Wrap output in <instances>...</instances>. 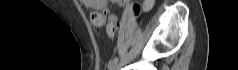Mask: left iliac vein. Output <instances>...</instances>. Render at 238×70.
<instances>
[{
  "label": "left iliac vein",
  "instance_id": "4c4485c4",
  "mask_svg": "<svg viewBox=\"0 0 238 70\" xmlns=\"http://www.w3.org/2000/svg\"><path fill=\"white\" fill-rule=\"evenodd\" d=\"M114 69H115V67H111V68H110V70H114Z\"/></svg>",
  "mask_w": 238,
  "mask_h": 70
}]
</instances>
